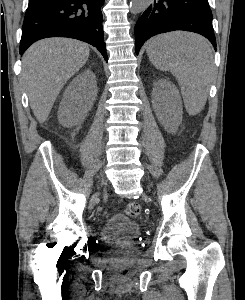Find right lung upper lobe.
Returning <instances> with one entry per match:
<instances>
[{
	"mask_svg": "<svg viewBox=\"0 0 245 300\" xmlns=\"http://www.w3.org/2000/svg\"><path fill=\"white\" fill-rule=\"evenodd\" d=\"M37 1H40V0H29V3H34V2H37Z\"/></svg>",
	"mask_w": 245,
	"mask_h": 300,
	"instance_id": "obj_1",
	"label": "right lung upper lobe"
}]
</instances>
